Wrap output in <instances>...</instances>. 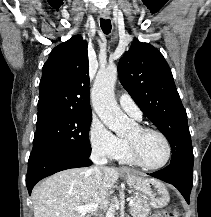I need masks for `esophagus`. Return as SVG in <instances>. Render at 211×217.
<instances>
[{
	"label": "esophagus",
	"instance_id": "1",
	"mask_svg": "<svg viewBox=\"0 0 211 217\" xmlns=\"http://www.w3.org/2000/svg\"><path fill=\"white\" fill-rule=\"evenodd\" d=\"M102 17L104 18V19H108L109 18V16L108 15H106V14H104V15H102ZM122 171H128V169L127 168H122L121 169Z\"/></svg>",
	"mask_w": 211,
	"mask_h": 217
}]
</instances>
